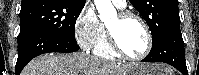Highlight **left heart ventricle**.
<instances>
[{
	"label": "left heart ventricle",
	"instance_id": "left-heart-ventricle-1",
	"mask_svg": "<svg viewBox=\"0 0 199 75\" xmlns=\"http://www.w3.org/2000/svg\"><path fill=\"white\" fill-rule=\"evenodd\" d=\"M107 27L114 33L118 43L127 54L136 56L145 50L146 35L138 21L134 19L120 21L116 16L107 24Z\"/></svg>",
	"mask_w": 199,
	"mask_h": 75
}]
</instances>
